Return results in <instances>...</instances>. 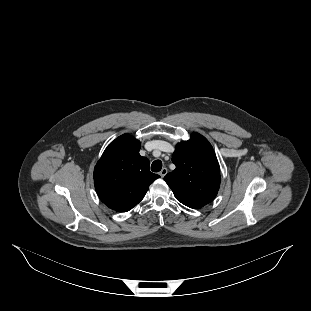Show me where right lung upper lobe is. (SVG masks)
I'll list each match as a JSON object with an SVG mask.
<instances>
[{"label": "right lung upper lobe", "mask_w": 311, "mask_h": 311, "mask_svg": "<svg viewBox=\"0 0 311 311\" xmlns=\"http://www.w3.org/2000/svg\"><path fill=\"white\" fill-rule=\"evenodd\" d=\"M141 144L128 134L112 141L94 169L101 201L118 212H127L145 196L160 176L149 171V160L139 154Z\"/></svg>", "instance_id": "obj_1"}]
</instances>
